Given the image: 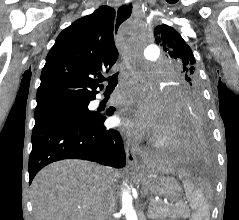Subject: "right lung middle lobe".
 Returning <instances> with one entry per match:
<instances>
[{"mask_svg":"<svg viewBox=\"0 0 239 220\" xmlns=\"http://www.w3.org/2000/svg\"><path fill=\"white\" fill-rule=\"evenodd\" d=\"M89 102L73 104H55L35 109V121L63 120L75 123H92L97 114L88 110Z\"/></svg>","mask_w":239,"mask_h":220,"instance_id":"dd1d6c3e","label":"right lung middle lobe"}]
</instances>
